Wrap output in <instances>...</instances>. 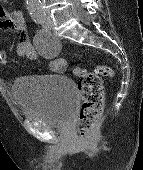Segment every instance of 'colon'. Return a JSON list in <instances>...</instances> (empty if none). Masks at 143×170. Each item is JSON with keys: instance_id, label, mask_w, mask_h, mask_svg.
Listing matches in <instances>:
<instances>
[{"instance_id": "5ec220e1", "label": "colon", "mask_w": 143, "mask_h": 170, "mask_svg": "<svg viewBox=\"0 0 143 170\" xmlns=\"http://www.w3.org/2000/svg\"><path fill=\"white\" fill-rule=\"evenodd\" d=\"M65 68L66 62L61 59L58 72H63ZM74 74L79 78L78 89L82 99L77 129L80 138L87 139L91 129L100 120L103 111L104 92L101 76H113L114 72L109 66L98 65L94 71L77 67Z\"/></svg>"}]
</instances>
